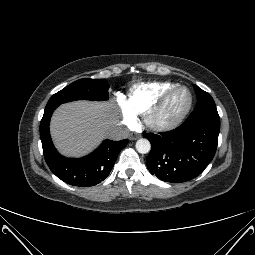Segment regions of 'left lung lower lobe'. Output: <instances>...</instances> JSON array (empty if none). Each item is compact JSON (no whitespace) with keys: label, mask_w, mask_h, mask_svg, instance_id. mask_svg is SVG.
<instances>
[{"label":"left lung lower lobe","mask_w":255,"mask_h":255,"mask_svg":"<svg viewBox=\"0 0 255 255\" xmlns=\"http://www.w3.org/2000/svg\"><path fill=\"white\" fill-rule=\"evenodd\" d=\"M219 131L220 122H184L171 131L148 133L152 145L146 160L149 171L172 183L197 177L215 155Z\"/></svg>","instance_id":"1"}]
</instances>
